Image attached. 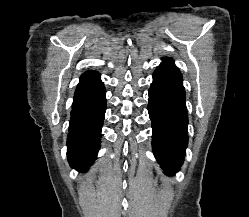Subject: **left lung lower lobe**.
<instances>
[{"instance_id":"1","label":"left lung lower lobe","mask_w":249,"mask_h":217,"mask_svg":"<svg viewBox=\"0 0 249 217\" xmlns=\"http://www.w3.org/2000/svg\"><path fill=\"white\" fill-rule=\"evenodd\" d=\"M148 112L155 158L167 175L181 167L188 144L183 78L173 59L164 58L153 74Z\"/></svg>"}]
</instances>
